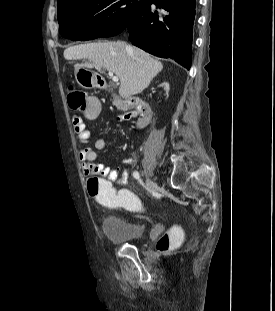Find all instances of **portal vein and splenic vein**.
Listing matches in <instances>:
<instances>
[{"instance_id": "1", "label": "portal vein and splenic vein", "mask_w": 275, "mask_h": 311, "mask_svg": "<svg viewBox=\"0 0 275 311\" xmlns=\"http://www.w3.org/2000/svg\"><path fill=\"white\" fill-rule=\"evenodd\" d=\"M108 74H109V76L111 77V79H112L113 82H115V83L118 82L119 79H118L117 76H115V75L113 74V72L109 71Z\"/></svg>"}]
</instances>
